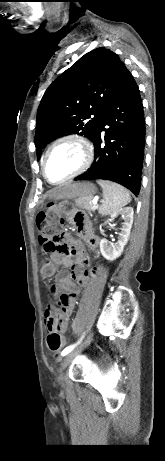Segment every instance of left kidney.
<instances>
[{"label":"left kidney","instance_id":"left-kidney-1","mask_svg":"<svg viewBox=\"0 0 165 461\" xmlns=\"http://www.w3.org/2000/svg\"><path fill=\"white\" fill-rule=\"evenodd\" d=\"M118 215H121L124 220L121 232L119 233L118 242L116 244H108L106 239H102L100 242V251L103 257L109 261H113L118 258L122 254L124 246L128 242L133 223V208H121L111 214V219H115Z\"/></svg>","mask_w":165,"mask_h":461}]
</instances>
